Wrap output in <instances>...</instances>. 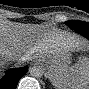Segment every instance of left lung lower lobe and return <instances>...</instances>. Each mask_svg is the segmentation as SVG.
Instances as JSON below:
<instances>
[{"label": "left lung lower lobe", "mask_w": 89, "mask_h": 89, "mask_svg": "<svg viewBox=\"0 0 89 89\" xmlns=\"http://www.w3.org/2000/svg\"><path fill=\"white\" fill-rule=\"evenodd\" d=\"M75 31L89 39V30L88 29H77Z\"/></svg>", "instance_id": "obj_1"}]
</instances>
